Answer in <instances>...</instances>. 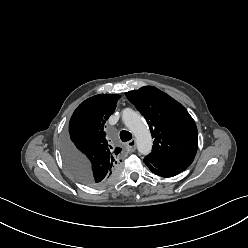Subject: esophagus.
<instances>
[{
  "instance_id": "esophagus-1",
  "label": "esophagus",
  "mask_w": 248,
  "mask_h": 248,
  "mask_svg": "<svg viewBox=\"0 0 248 248\" xmlns=\"http://www.w3.org/2000/svg\"><path fill=\"white\" fill-rule=\"evenodd\" d=\"M126 148L128 151L134 152L136 149V140L132 139V140L128 141L126 144Z\"/></svg>"
}]
</instances>
